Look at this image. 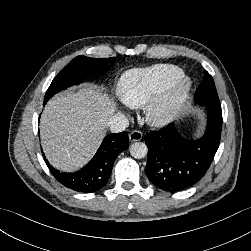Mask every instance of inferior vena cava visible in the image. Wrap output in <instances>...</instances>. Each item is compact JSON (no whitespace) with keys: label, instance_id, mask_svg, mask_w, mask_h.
Listing matches in <instances>:
<instances>
[{"label":"inferior vena cava","instance_id":"obj_1","mask_svg":"<svg viewBox=\"0 0 251 251\" xmlns=\"http://www.w3.org/2000/svg\"><path fill=\"white\" fill-rule=\"evenodd\" d=\"M107 125L111 132L118 133L124 131L128 127L129 122L124 114L117 113L109 119Z\"/></svg>","mask_w":251,"mask_h":251}]
</instances>
